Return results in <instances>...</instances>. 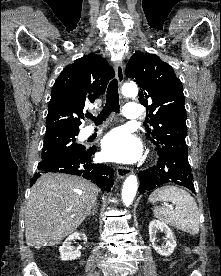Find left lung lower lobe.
Wrapping results in <instances>:
<instances>
[{
	"mask_svg": "<svg viewBox=\"0 0 221 276\" xmlns=\"http://www.w3.org/2000/svg\"><path fill=\"white\" fill-rule=\"evenodd\" d=\"M156 150L159 155L157 165L139 172L140 194L166 183H175L195 191L188 151L166 147H159Z\"/></svg>",
	"mask_w": 221,
	"mask_h": 276,
	"instance_id": "left-lung-lower-lobe-1",
	"label": "left lung lower lobe"
}]
</instances>
